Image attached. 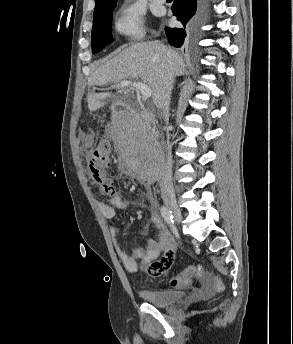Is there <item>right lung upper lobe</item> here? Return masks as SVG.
I'll use <instances>...</instances> for the list:
<instances>
[{
	"mask_svg": "<svg viewBox=\"0 0 293 344\" xmlns=\"http://www.w3.org/2000/svg\"><path fill=\"white\" fill-rule=\"evenodd\" d=\"M116 2L117 0H95V9H99Z\"/></svg>",
	"mask_w": 293,
	"mask_h": 344,
	"instance_id": "cb5924a9",
	"label": "right lung upper lobe"
}]
</instances>
